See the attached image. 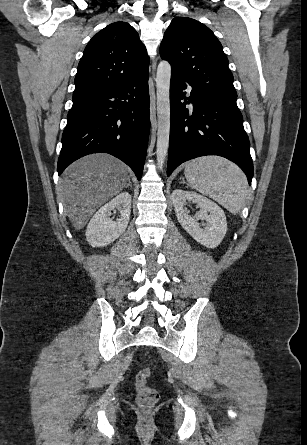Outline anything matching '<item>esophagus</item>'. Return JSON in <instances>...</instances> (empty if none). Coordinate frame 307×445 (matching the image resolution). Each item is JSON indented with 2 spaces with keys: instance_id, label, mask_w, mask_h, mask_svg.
I'll list each match as a JSON object with an SVG mask.
<instances>
[{
  "instance_id": "1",
  "label": "esophagus",
  "mask_w": 307,
  "mask_h": 445,
  "mask_svg": "<svg viewBox=\"0 0 307 445\" xmlns=\"http://www.w3.org/2000/svg\"><path fill=\"white\" fill-rule=\"evenodd\" d=\"M156 63H157V58L154 57V59H153V63H152V72H153V73L155 72V69H156Z\"/></svg>"
}]
</instances>
